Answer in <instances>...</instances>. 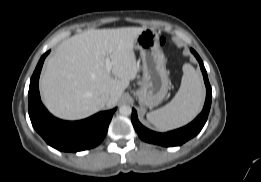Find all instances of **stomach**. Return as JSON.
Masks as SVG:
<instances>
[{
	"mask_svg": "<svg viewBox=\"0 0 261 182\" xmlns=\"http://www.w3.org/2000/svg\"><path fill=\"white\" fill-rule=\"evenodd\" d=\"M134 49L140 52L143 79L136 91L142 107H154L161 103L169 89L166 59L159 44V35L146 28L136 38Z\"/></svg>",
	"mask_w": 261,
	"mask_h": 182,
	"instance_id": "obj_1",
	"label": "stomach"
}]
</instances>
